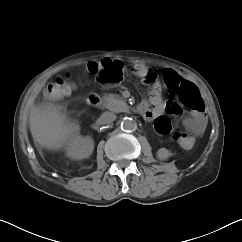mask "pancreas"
<instances>
[{
  "label": "pancreas",
  "instance_id": "pancreas-1",
  "mask_svg": "<svg viewBox=\"0 0 242 242\" xmlns=\"http://www.w3.org/2000/svg\"><path fill=\"white\" fill-rule=\"evenodd\" d=\"M104 106L113 112H122L128 109L126 102L122 97L115 94H108L103 97Z\"/></svg>",
  "mask_w": 242,
  "mask_h": 242
}]
</instances>
